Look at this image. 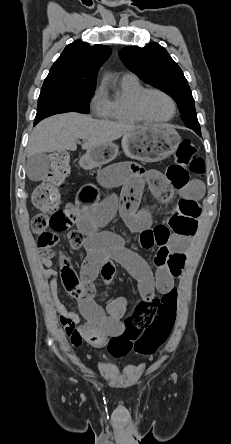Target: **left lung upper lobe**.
<instances>
[{
  "instance_id": "obj_1",
  "label": "left lung upper lobe",
  "mask_w": 231,
  "mask_h": 444,
  "mask_svg": "<svg viewBox=\"0 0 231 444\" xmlns=\"http://www.w3.org/2000/svg\"><path fill=\"white\" fill-rule=\"evenodd\" d=\"M119 55L124 64L144 82L161 89L176 101L187 127L201 134L195 101L186 78L168 52L158 43L146 47H124Z\"/></svg>"
}]
</instances>
